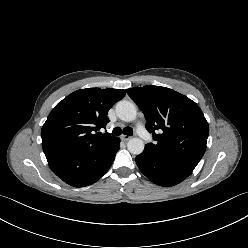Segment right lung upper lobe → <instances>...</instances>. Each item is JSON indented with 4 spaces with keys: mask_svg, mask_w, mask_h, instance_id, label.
<instances>
[{
    "mask_svg": "<svg viewBox=\"0 0 248 248\" xmlns=\"http://www.w3.org/2000/svg\"><path fill=\"white\" fill-rule=\"evenodd\" d=\"M124 96V90L100 88L68 95L53 108L42 127L45 155L88 153L110 144L116 137L95 132L106 126L109 109Z\"/></svg>",
    "mask_w": 248,
    "mask_h": 248,
    "instance_id": "right-lung-upper-lobe-1",
    "label": "right lung upper lobe"
}]
</instances>
